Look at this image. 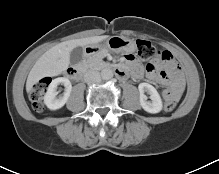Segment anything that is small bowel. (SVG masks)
I'll return each mask as SVG.
<instances>
[{"instance_id": "c3829d8e", "label": "small bowel", "mask_w": 219, "mask_h": 174, "mask_svg": "<svg viewBox=\"0 0 219 174\" xmlns=\"http://www.w3.org/2000/svg\"><path fill=\"white\" fill-rule=\"evenodd\" d=\"M124 61L128 65V70L135 78L139 79L142 77L143 69L136 61L134 55H127ZM147 76L152 81L169 84L170 89H162L160 91V98L162 100L171 102H179L181 100V93L185 84L184 75L170 51H162L158 57L149 63L147 66Z\"/></svg>"}]
</instances>
